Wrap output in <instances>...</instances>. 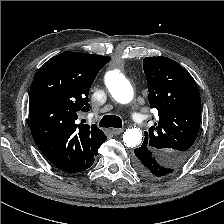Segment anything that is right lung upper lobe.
<instances>
[{
    "label": "right lung upper lobe",
    "instance_id": "cb5924a9",
    "mask_svg": "<svg viewBox=\"0 0 224 224\" xmlns=\"http://www.w3.org/2000/svg\"><path fill=\"white\" fill-rule=\"evenodd\" d=\"M109 56L64 52L49 59L30 87L29 114L34 140L58 169L81 172L94 162L107 137L95 124H78L88 93Z\"/></svg>",
    "mask_w": 224,
    "mask_h": 224
}]
</instances>
